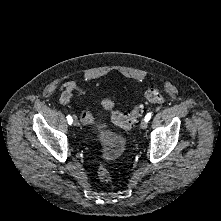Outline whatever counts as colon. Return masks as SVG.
Wrapping results in <instances>:
<instances>
[{"label": "colon", "mask_w": 221, "mask_h": 221, "mask_svg": "<svg viewBox=\"0 0 221 221\" xmlns=\"http://www.w3.org/2000/svg\"><path fill=\"white\" fill-rule=\"evenodd\" d=\"M144 101L149 103H158L162 104L165 102L164 94L155 88H149L144 93ZM102 105L106 111L109 112L112 122L122 129L132 128L138 121L139 117L144 113L145 108L143 104L136 105L128 113H121L117 111L114 107V103L106 98L103 100ZM80 121L84 124H94V118L92 114L88 111H83L80 114ZM102 130L106 129V126H101ZM102 146L98 147V152L102 153ZM98 176L101 181L109 182L111 180L110 173L106 167L105 162H101L98 170Z\"/></svg>", "instance_id": "obj_1"}]
</instances>
